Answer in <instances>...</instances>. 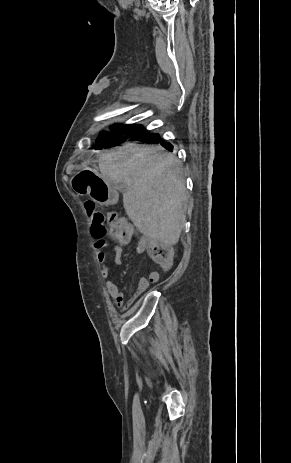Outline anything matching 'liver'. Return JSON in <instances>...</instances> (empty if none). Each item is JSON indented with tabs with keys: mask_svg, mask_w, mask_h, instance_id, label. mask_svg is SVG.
I'll return each mask as SVG.
<instances>
[{
	"mask_svg": "<svg viewBox=\"0 0 291 463\" xmlns=\"http://www.w3.org/2000/svg\"><path fill=\"white\" fill-rule=\"evenodd\" d=\"M101 176L124 183L123 206L137 229L154 241L175 245L186 222L187 191L177 158L160 146L127 143L102 155Z\"/></svg>",
	"mask_w": 291,
	"mask_h": 463,
	"instance_id": "1",
	"label": "liver"
}]
</instances>
